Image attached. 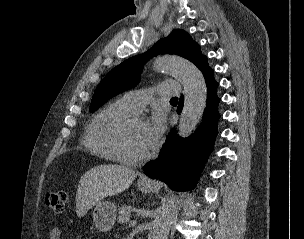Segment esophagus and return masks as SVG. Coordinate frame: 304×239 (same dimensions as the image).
Instances as JSON below:
<instances>
[{
	"instance_id": "obj_1",
	"label": "esophagus",
	"mask_w": 304,
	"mask_h": 239,
	"mask_svg": "<svg viewBox=\"0 0 304 239\" xmlns=\"http://www.w3.org/2000/svg\"><path fill=\"white\" fill-rule=\"evenodd\" d=\"M141 181H142L143 183H150V181H149L147 178H142Z\"/></svg>"
}]
</instances>
